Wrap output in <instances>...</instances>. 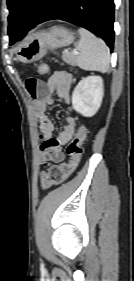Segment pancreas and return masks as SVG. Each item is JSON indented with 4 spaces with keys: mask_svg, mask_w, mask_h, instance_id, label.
Masks as SVG:
<instances>
[{
    "mask_svg": "<svg viewBox=\"0 0 134 281\" xmlns=\"http://www.w3.org/2000/svg\"><path fill=\"white\" fill-rule=\"evenodd\" d=\"M62 59L65 63L75 66L77 63V56L73 53H63Z\"/></svg>",
    "mask_w": 134,
    "mask_h": 281,
    "instance_id": "1",
    "label": "pancreas"
}]
</instances>
